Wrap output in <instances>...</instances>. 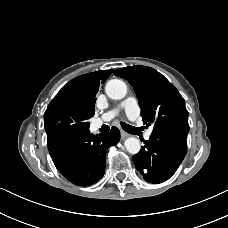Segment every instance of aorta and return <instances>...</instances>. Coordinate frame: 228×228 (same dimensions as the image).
<instances>
[{"instance_id":"1","label":"aorta","mask_w":228,"mask_h":228,"mask_svg":"<svg viewBox=\"0 0 228 228\" xmlns=\"http://www.w3.org/2000/svg\"><path fill=\"white\" fill-rule=\"evenodd\" d=\"M105 91L109 98L120 100L126 96L127 86L122 80L112 79L107 82ZM124 145L126 150L133 155L139 153L141 149L140 141L135 137L127 138Z\"/></svg>"}]
</instances>
